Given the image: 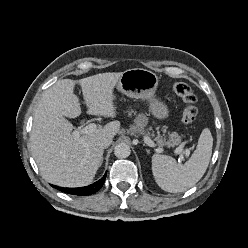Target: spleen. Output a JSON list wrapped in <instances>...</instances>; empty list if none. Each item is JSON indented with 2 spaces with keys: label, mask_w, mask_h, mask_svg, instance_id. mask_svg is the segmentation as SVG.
I'll return each instance as SVG.
<instances>
[{
  "label": "spleen",
  "mask_w": 248,
  "mask_h": 248,
  "mask_svg": "<svg viewBox=\"0 0 248 248\" xmlns=\"http://www.w3.org/2000/svg\"><path fill=\"white\" fill-rule=\"evenodd\" d=\"M213 137L205 128L198 139L196 150L184 164H176L174 158L155 154L152 157V173L156 183L164 191L184 192L194 186L204 175L212 155Z\"/></svg>",
  "instance_id": "3e777b00"
}]
</instances>
